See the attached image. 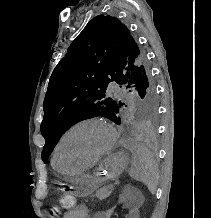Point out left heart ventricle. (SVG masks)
Masks as SVG:
<instances>
[{
  "instance_id": "left-heart-ventricle-1",
  "label": "left heart ventricle",
  "mask_w": 211,
  "mask_h": 218,
  "mask_svg": "<svg viewBox=\"0 0 211 218\" xmlns=\"http://www.w3.org/2000/svg\"><path fill=\"white\" fill-rule=\"evenodd\" d=\"M107 130L88 124L72 132L62 143L59 164H85L93 160L109 143Z\"/></svg>"
}]
</instances>
